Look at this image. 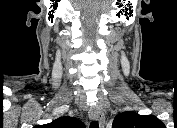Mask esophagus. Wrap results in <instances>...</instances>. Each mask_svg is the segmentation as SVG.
Segmentation results:
<instances>
[{
	"mask_svg": "<svg viewBox=\"0 0 177 128\" xmlns=\"http://www.w3.org/2000/svg\"><path fill=\"white\" fill-rule=\"evenodd\" d=\"M89 117L93 121H98L103 127L105 123V116L99 107H92L89 111Z\"/></svg>",
	"mask_w": 177,
	"mask_h": 128,
	"instance_id": "esophagus-1",
	"label": "esophagus"
}]
</instances>
